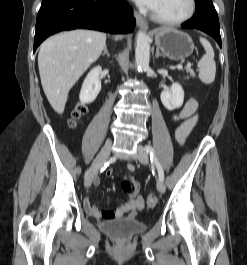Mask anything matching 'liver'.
Masks as SVG:
<instances>
[{
  "label": "liver",
  "mask_w": 247,
  "mask_h": 265,
  "mask_svg": "<svg viewBox=\"0 0 247 265\" xmlns=\"http://www.w3.org/2000/svg\"><path fill=\"white\" fill-rule=\"evenodd\" d=\"M105 46L106 34L91 30L60 33L41 44L38 54L41 84L55 112H64L70 89L100 57Z\"/></svg>",
  "instance_id": "liver-1"
}]
</instances>
